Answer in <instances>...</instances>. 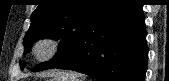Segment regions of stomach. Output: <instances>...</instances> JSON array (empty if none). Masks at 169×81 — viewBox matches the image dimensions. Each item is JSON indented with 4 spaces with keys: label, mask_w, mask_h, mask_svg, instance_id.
Returning a JSON list of instances; mask_svg holds the SVG:
<instances>
[{
    "label": "stomach",
    "mask_w": 169,
    "mask_h": 81,
    "mask_svg": "<svg viewBox=\"0 0 169 81\" xmlns=\"http://www.w3.org/2000/svg\"><path fill=\"white\" fill-rule=\"evenodd\" d=\"M49 81H68L65 77H55Z\"/></svg>",
    "instance_id": "stomach-1"
}]
</instances>
